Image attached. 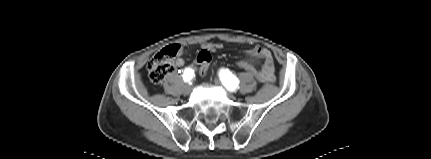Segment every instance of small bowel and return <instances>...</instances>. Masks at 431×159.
<instances>
[{
  "instance_id": "1",
  "label": "small bowel",
  "mask_w": 431,
  "mask_h": 159,
  "mask_svg": "<svg viewBox=\"0 0 431 159\" xmlns=\"http://www.w3.org/2000/svg\"><path fill=\"white\" fill-rule=\"evenodd\" d=\"M221 48H222V44L210 42V43L204 44L203 49L200 52L206 51L210 54V52H215ZM240 62L247 63L253 66L254 69L258 70V74L261 76L262 82H269L274 79L273 57L271 52L268 49L259 47V46L248 49L244 51V59L241 60ZM174 64L176 67H182L185 64V61L183 58L178 57L174 61ZM200 81H203V80H200Z\"/></svg>"
}]
</instances>
